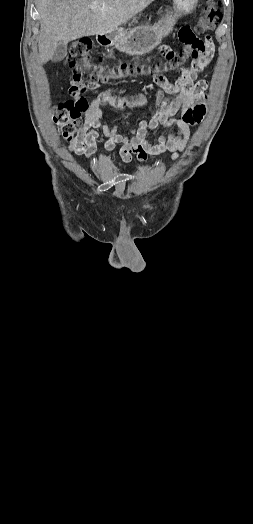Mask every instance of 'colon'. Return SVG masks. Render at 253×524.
<instances>
[{"instance_id": "obj_1", "label": "colon", "mask_w": 253, "mask_h": 524, "mask_svg": "<svg viewBox=\"0 0 253 524\" xmlns=\"http://www.w3.org/2000/svg\"><path fill=\"white\" fill-rule=\"evenodd\" d=\"M220 20L219 0H208L195 31L198 35H204L215 29ZM183 45V50L175 54V62L173 64L159 60L150 65L123 63L109 67L110 57L108 53H97L95 60L92 58V42L88 37H82L75 41L67 57V64L74 73L69 88L71 98L54 105L52 109L54 123L63 138L72 140L82 129V116L89 109V102L83 95L85 83L92 89H98L102 84L124 77L135 75L150 76L153 72H162L166 75L173 72L168 71V68H178L180 64L188 61L186 54H184V51H187L185 49L187 44ZM204 114V106L197 105L187 113V119L190 123L196 124L202 120Z\"/></svg>"}]
</instances>
